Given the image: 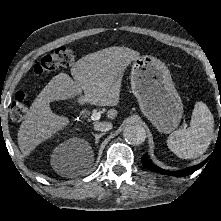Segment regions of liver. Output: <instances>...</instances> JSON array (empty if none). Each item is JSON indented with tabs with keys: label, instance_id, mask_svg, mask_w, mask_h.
I'll return each instance as SVG.
<instances>
[{
	"label": "liver",
	"instance_id": "liver-1",
	"mask_svg": "<svg viewBox=\"0 0 221 221\" xmlns=\"http://www.w3.org/2000/svg\"><path fill=\"white\" fill-rule=\"evenodd\" d=\"M140 57L127 47H108L79 59L71 68L73 79L60 73L39 93L18 130V145L24 156L43 141L69 124L50 108L53 101L75 99L84 92L83 101L97 106H117L120 100L122 77L126 68ZM117 116L115 109L107 112L109 119Z\"/></svg>",
	"mask_w": 221,
	"mask_h": 221
}]
</instances>
